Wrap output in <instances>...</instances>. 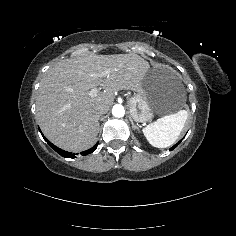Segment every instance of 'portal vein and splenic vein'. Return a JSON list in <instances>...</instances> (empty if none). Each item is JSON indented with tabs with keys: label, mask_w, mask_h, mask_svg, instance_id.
<instances>
[{
	"label": "portal vein and splenic vein",
	"mask_w": 236,
	"mask_h": 236,
	"mask_svg": "<svg viewBox=\"0 0 236 236\" xmlns=\"http://www.w3.org/2000/svg\"><path fill=\"white\" fill-rule=\"evenodd\" d=\"M110 72H111V71H110L109 69H107V70L103 71V72L101 73V75H102V76H106V75H108ZM99 91H100V89H97V88L91 89L90 92H89V95H90V96H96Z\"/></svg>",
	"instance_id": "18ae733b"
}]
</instances>
